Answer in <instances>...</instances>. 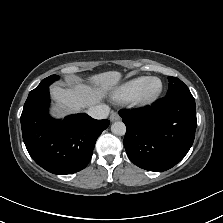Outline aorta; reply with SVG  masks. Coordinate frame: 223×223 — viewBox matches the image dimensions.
<instances>
[{
  "label": "aorta",
  "instance_id": "762f6f07",
  "mask_svg": "<svg viewBox=\"0 0 223 223\" xmlns=\"http://www.w3.org/2000/svg\"><path fill=\"white\" fill-rule=\"evenodd\" d=\"M126 131L125 124L122 121H115L111 125V132L113 134L124 135Z\"/></svg>",
  "mask_w": 223,
  "mask_h": 223
}]
</instances>
